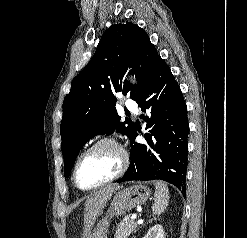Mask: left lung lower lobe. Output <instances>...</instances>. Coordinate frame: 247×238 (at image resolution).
I'll list each match as a JSON object with an SVG mask.
<instances>
[{
    "label": "left lung lower lobe",
    "instance_id": "obj_1",
    "mask_svg": "<svg viewBox=\"0 0 247 238\" xmlns=\"http://www.w3.org/2000/svg\"><path fill=\"white\" fill-rule=\"evenodd\" d=\"M145 112L146 144L135 142L137 129L131 137V163L117 182L131 180H164L185 189L189 124L187 106L169 66L161 61L145 91L136 101Z\"/></svg>",
    "mask_w": 247,
    "mask_h": 238
}]
</instances>
